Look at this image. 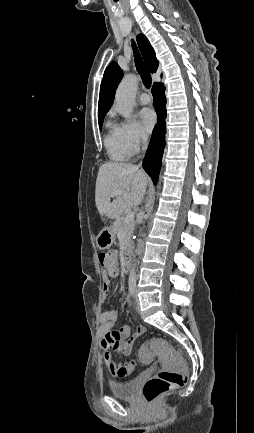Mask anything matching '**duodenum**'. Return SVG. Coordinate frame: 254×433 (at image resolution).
Masks as SVG:
<instances>
[{"label":"duodenum","instance_id":"obj_1","mask_svg":"<svg viewBox=\"0 0 254 433\" xmlns=\"http://www.w3.org/2000/svg\"><path fill=\"white\" fill-rule=\"evenodd\" d=\"M123 267L125 270H130L131 268V249L129 246L125 248Z\"/></svg>","mask_w":254,"mask_h":433}]
</instances>
